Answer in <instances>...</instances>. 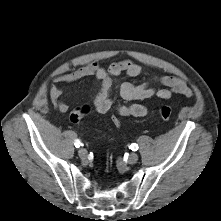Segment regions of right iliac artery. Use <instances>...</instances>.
<instances>
[{
	"mask_svg": "<svg viewBox=\"0 0 221 221\" xmlns=\"http://www.w3.org/2000/svg\"><path fill=\"white\" fill-rule=\"evenodd\" d=\"M74 145L77 148H79L80 146H83V144L79 140H76Z\"/></svg>",
	"mask_w": 221,
	"mask_h": 221,
	"instance_id": "right-iliac-artery-1",
	"label": "right iliac artery"
}]
</instances>
